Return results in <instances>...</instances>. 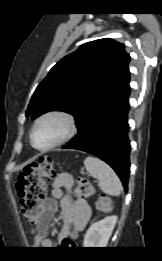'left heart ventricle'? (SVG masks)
I'll return each mask as SVG.
<instances>
[{"instance_id": "b2bd125f", "label": "left heart ventricle", "mask_w": 162, "mask_h": 261, "mask_svg": "<svg viewBox=\"0 0 162 261\" xmlns=\"http://www.w3.org/2000/svg\"><path fill=\"white\" fill-rule=\"evenodd\" d=\"M64 124L58 119H49L42 122L34 132V144L44 147L56 140L63 132Z\"/></svg>"}]
</instances>
